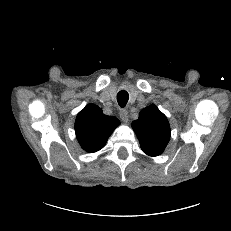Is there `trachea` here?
I'll list each match as a JSON object with an SVG mask.
<instances>
[{"instance_id": "trachea-1", "label": "trachea", "mask_w": 231, "mask_h": 231, "mask_svg": "<svg viewBox=\"0 0 231 231\" xmlns=\"http://www.w3.org/2000/svg\"><path fill=\"white\" fill-rule=\"evenodd\" d=\"M129 99V94L127 91L125 90H121L118 92L117 94V102L119 104L120 107H125V105L127 104Z\"/></svg>"}]
</instances>
